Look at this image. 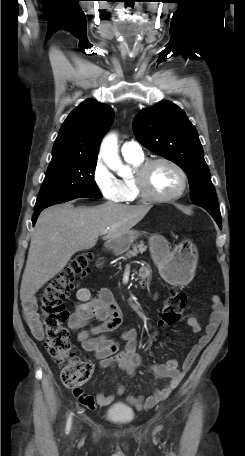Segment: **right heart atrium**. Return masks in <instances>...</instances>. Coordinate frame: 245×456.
<instances>
[{
    "instance_id": "right-heart-atrium-1",
    "label": "right heart atrium",
    "mask_w": 245,
    "mask_h": 456,
    "mask_svg": "<svg viewBox=\"0 0 245 456\" xmlns=\"http://www.w3.org/2000/svg\"><path fill=\"white\" fill-rule=\"evenodd\" d=\"M92 180L104 199L111 202L122 201L123 189L121 182L101 159H98L93 167Z\"/></svg>"
}]
</instances>
